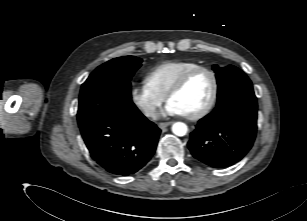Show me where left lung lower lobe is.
<instances>
[{"label": "left lung lower lobe", "instance_id": "left-lung-lower-lobe-1", "mask_svg": "<svg viewBox=\"0 0 307 221\" xmlns=\"http://www.w3.org/2000/svg\"><path fill=\"white\" fill-rule=\"evenodd\" d=\"M257 129V101L239 96L199 120L188 147L199 161L214 168L240 161L251 149Z\"/></svg>", "mask_w": 307, "mask_h": 221}]
</instances>
